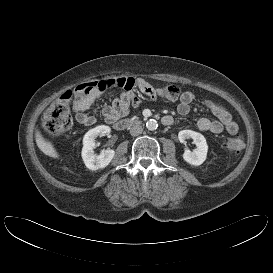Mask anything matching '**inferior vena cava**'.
<instances>
[{"label": "inferior vena cava", "instance_id": "inferior-vena-cava-1", "mask_svg": "<svg viewBox=\"0 0 273 273\" xmlns=\"http://www.w3.org/2000/svg\"><path fill=\"white\" fill-rule=\"evenodd\" d=\"M142 131H143V128L139 124H134L130 128V134L132 136H138V135H140L142 133Z\"/></svg>", "mask_w": 273, "mask_h": 273}]
</instances>
